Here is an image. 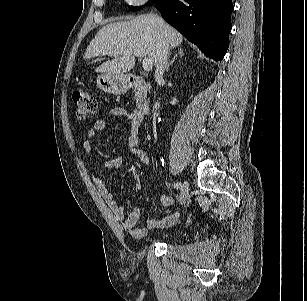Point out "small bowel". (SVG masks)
<instances>
[{
    "mask_svg": "<svg viewBox=\"0 0 307 301\" xmlns=\"http://www.w3.org/2000/svg\"><path fill=\"white\" fill-rule=\"evenodd\" d=\"M112 114L116 117L126 119L130 122L129 148L127 154L138 158L144 165H149V157L147 154L138 148L139 144V129L143 122V116L136 110H129L123 107H114ZM107 129V122L99 119L94 122V125L88 129L87 138L83 141L82 147L86 153H92L94 150L93 140L99 133ZM122 165V157L110 158L104 161V166L107 168H119ZM88 171L94 185L97 187L100 195L107 203L114 217L121 223L123 229L133 238H143L149 230L165 228L173 225L179 216L175 212L163 219H149L142 227H137L136 224L140 218V211L134 207L126 215L124 208L114 198L112 192L107 187L105 180L98 173L94 164L88 165ZM172 196L161 195L158 198V203L161 206H169L173 203Z\"/></svg>",
    "mask_w": 307,
    "mask_h": 301,
    "instance_id": "c3829d8e",
    "label": "small bowel"
}]
</instances>
